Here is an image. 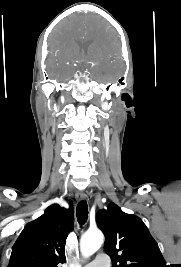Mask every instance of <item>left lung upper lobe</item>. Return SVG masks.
Listing matches in <instances>:
<instances>
[{
	"mask_svg": "<svg viewBox=\"0 0 181 267\" xmlns=\"http://www.w3.org/2000/svg\"><path fill=\"white\" fill-rule=\"evenodd\" d=\"M105 235V250L113 267H167L156 241L143 221L124 213L116 204L97 213Z\"/></svg>",
	"mask_w": 181,
	"mask_h": 267,
	"instance_id": "left-lung-upper-lobe-1",
	"label": "left lung upper lobe"
}]
</instances>
